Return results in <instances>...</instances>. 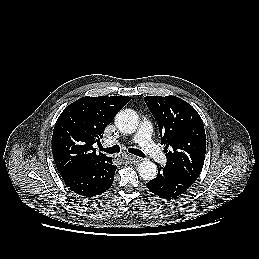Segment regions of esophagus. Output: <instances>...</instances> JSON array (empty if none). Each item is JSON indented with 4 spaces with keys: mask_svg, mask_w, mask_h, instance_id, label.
Returning <instances> with one entry per match:
<instances>
[{
    "mask_svg": "<svg viewBox=\"0 0 259 259\" xmlns=\"http://www.w3.org/2000/svg\"><path fill=\"white\" fill-rule=\"evenodd\" d=\"M127 161H128L129 163H131V164H138L141 160H140V158H138V157L129 155V156L127 157Z\"/></svg>",
    "mask_w": 259,
    "mask_h": 259,
    "instance_id": "1",
    "label": "esophagus"
}]
</instances>
